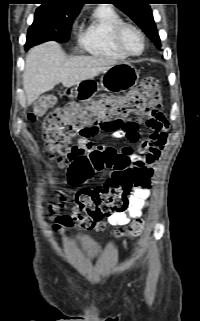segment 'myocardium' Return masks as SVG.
<instances>
[{
  "label": "myocardium",
  "mask_w": 200,
  "mask_h": 321,
  "mask_svg": "<svg viewBox=\"0 0 200 321\" xmlns=\"http://www.w3.org/2000/svg\"><path fill=\"white\" fill-rule=\"evenodd\" d=\"M126 29H133L141 38L142 41V49L140 52L138 53H131L129 52L122 41L123 38V34L125 32ZM114 42L117 46V48L123 53L125 54L127 57H137L143 54L145 48H146V39H145V35L142 32V30L135 24L133 23H129V22H123L121 23L115 30L114 32Z\"/></svg>",
  "instance_id": "f54148a6"
}]
</instances>
